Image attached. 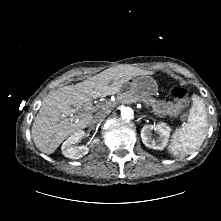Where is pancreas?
I'll list each match as a JSON object with an SVG mask.
<instances>
[{
  "mask_svg": "<svg viewBox=\"0 0 221 221\" xmlns=\"http://www.w3.org/2000/svg\"><path fill=\"white\" fill-rule=\"evenodd\" d=\"M121 98H123L126 101H142L146 103L148 106H153L156 102L154 98L151 96H135L131 93L126 94V95H121Z\"/></svg>",
  "mask_w": 221,
  "mask_h": 221,
  "instance_id": "obj_1",
  "label": "pancreas"
}]
</instances>
